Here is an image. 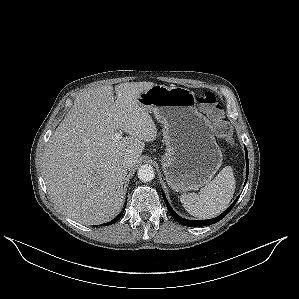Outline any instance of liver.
I'll return each mask as SVG.
<instances>
[{
    "label": "liver",
    "instance_id": "6515ba94",
    "mask_svg": "<svg viewBox=\"0 0 299 299\" xmlns=\"http://www.w3.org/2000/svg\"><path fill=\"white\" fill-rule=\"evenodd\" d=\"M152 82H127L85 90L52 134L42 157L43 176L55 205L85 224L105 223L124 204L125 157L137 164L156 125L138 102ZM118 130L129 134L114 140Z\"/></svg>",
    "mask_w": 299,
    "mask_h": 299
}]
</instances>
